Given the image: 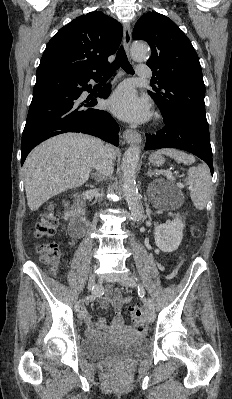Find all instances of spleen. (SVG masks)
I'll return each mask as SVG.
<instances>
[{
    "instance_id": "3e777b00",
    "label": "spleen",
    "mask_w": 232,
    "mask_h": 399,
    "mask_svg": "<svg viewBox=\"0 0 232 399\" xmlns=\"http://www.w3.org/2000/svg\"><path fill=\"white\" fill-rule=\"evenodd\" d=\"M157 154H164L176 160L178 164H194V156H189L185 152H179V150H172V148H164V150H158ZM188 176L185 180V186H189L191 200L193 201L197 209H204L206 203L210 198L211 190V174L206 164H199L196 168H190L187 172Z\"/></svg>"
}]
</instances>
